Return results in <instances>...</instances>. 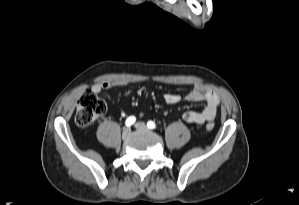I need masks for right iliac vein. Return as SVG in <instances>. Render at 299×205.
I'll return each instance as SVG.
<instances>
[{"instance_id": "right-iliac-vein-1", "label": "right iliac vein", "mask_w": 299, "mask_h": 205, "mask_svg": "<svg viewBox=\"0 0 299 205\" xmlns=\"http://www.w3.org/2000/svg\"><path fill=\"white\" fill-rule=\"evenodd\" d=\"M131 134V129L130 128H126L123 133H122V138L125 140L127 139Z\"/></svg>"}]
</instances>
